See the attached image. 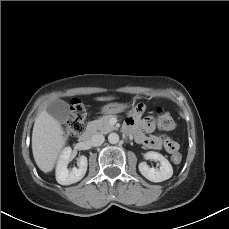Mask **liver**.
<instances>
[{"label": "liver", "mask_w": 229, "mask_h": 229, "mask_svg": "<svg viewBox=\"0 0 229 229\" xmlns=\"http://www.w3.org/2000/svg\"><path fill=\"white\" fill-rule=\"evenodd\" d=\"M114 97H97L98 101ZM66 144L64 130L59 121L45 109L35 119L32 132V152L37 166L45 173L51 172Z\"/></svg>", "instance_id": "obj_1"}]
</instances>
